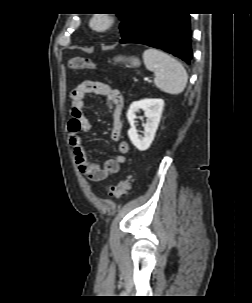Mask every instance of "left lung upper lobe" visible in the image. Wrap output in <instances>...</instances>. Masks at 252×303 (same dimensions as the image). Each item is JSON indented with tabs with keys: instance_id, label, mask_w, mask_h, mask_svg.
Here are the masks:
<instances>
[{
	"instance_id": "left-lung-upper-lobe-1",
	"label": "left lung upper lobe",
	"mask_w": 252,
	"mask_h": 303,
	"mask_svg": "<svg viewBox=\"0 0 252 303\" xmlns=\"http://www.w3.org/2000/svg\"><path fill=\"white\" fill-rule=\"evenodd\" d=\"M143 13V11L138 10L133 13L118 14L121 19L120 31L122 38L126 37L135 28Z\"/></svg>"
}]
</instances>
